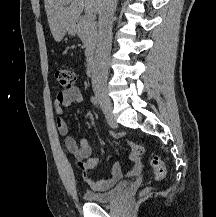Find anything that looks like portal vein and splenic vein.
Here are the masks:
<instances>
[{"label": "portal vein and splenic vein", "mask_w": 216, "mask_h": 217, "mask_svg": "<svg viewBox=\"0 0 216 217\" xmlns=\"http://www.w3.org/2000/svg\"><path fill=\"white\" fill-rule=\"evenodd\" d=\"M85 18L88 20V21H92L94 20V14L90 11H88L86 14H85Z\"/></svg>", "instance_id": "obj_1"}]
</instances>
